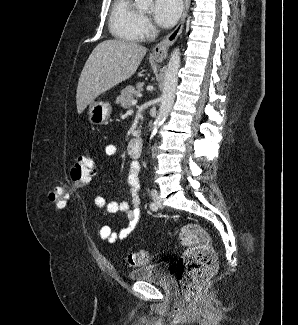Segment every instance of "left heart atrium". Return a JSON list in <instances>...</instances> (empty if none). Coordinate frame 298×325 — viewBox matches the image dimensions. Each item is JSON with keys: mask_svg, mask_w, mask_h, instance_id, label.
<instances>
[{"mask_svg": "<svg viewBox=\"0 0 298 325\" xmlns=\"http://www.w3.org/2000/svg\"><path fill=\"white\" fill-rule=\"evenodd\" d=\"M181 12V0H155L152 16L159 27L170 28L177 22Z\"/></svg>", "mask_w": 298, "mask_h": 325, "instance_id": "39dd6f15", "label": "left heart atrium"}]
</instances>
